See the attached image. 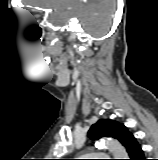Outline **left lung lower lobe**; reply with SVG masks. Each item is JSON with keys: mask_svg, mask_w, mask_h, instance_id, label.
I'll list each match as a JSON object with an SVG mask.
<instances>
[{"mask_svg": "<svg viewBox=\"0 0 158 160\" xmlns=\"http://www.w3.org/2000/svg\"><path fill=\"white\" fill-rule=\"evenodd\" d=\"M124 147L128 153L129 160H146L141 145L137 142L133 134L127 137Z\"/></svg>", "mask_w": 158, "mask_h": 160, "instance_id": "left-lung-lower-lobe-1", "label": "left lung lower lobe"}]
</instances>
